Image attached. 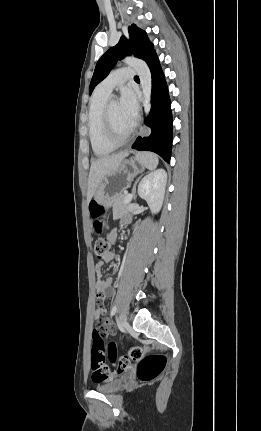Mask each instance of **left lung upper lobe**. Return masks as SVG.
Instances as JSON below:
<instances>
[{
  "label": "left lung upper lobe",
  "mask_w": 261,
  "mask_h": 431,
  "mask_svg": "<svg viewBox=\"0 0 261 431\" xmlns=\"http://www.w3.org/2000/svg\"><path fill=\"white\" fill-rule=\"evenodd\" d=\"M128 30L130 40L122 36L118 44L110 48L97 62L90 82V94L95 86L107 77L117 60L124 58L128 54H134L136 57L147 61L155 52L153 44L147 38L145 31L135 24L129 26Z\"/></svg>",
  "instance_id": "5c2ea615"
}]
</instances>
